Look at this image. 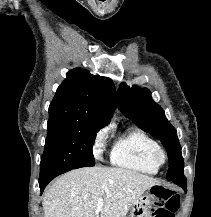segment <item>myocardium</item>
<instances>
[{"label": "myocardium", "mask_w": 211, "mask_h": 217, "mask_svg": "<svg viewBox=\"0 0 211 217\" xmlns=\"http://www.w3.org/2000/svg\"><path fill=\"white\" fill-rule=\"evenodd\" d=\"M152 160L153 162L159 167L163 166L167 160H168V155L166 151L158 146L153 152H152Z\"/></svg>", "instance_id": "obj_1"}]
</instances>
